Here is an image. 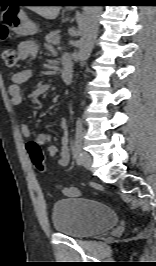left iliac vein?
<instances>
[{
  "label": "left iliac vein",
  "instance_id": "obj_1",
  "mask_svg": "<svg viewBox=\"0 0 156 266\" xmlns=\"http://www.w3.org/2000/svg\"><path fill=\"white\" fill-rule=\"evenodd\" d=\"M92 157L89 153L82 151L81 155H80V163L83 167H85L86 169H91V165H92Z\"/></svg>",
  "mask_w": 156,
  "mask_h": 266
}]
</instances>
